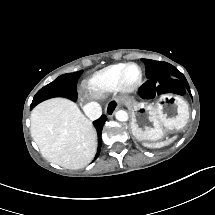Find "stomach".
I'll return each mask as SVG.
<instances>
[{"mask_svg": "<svg viewBox=\"0 0 215 215\" xmlns=\"http://www.w3.org/2000/svg\"><path fill=\"white\" fill-rule=\"evenodd\" d=\"M130 110V128L134 137L143 142H171L183 130L189 120L187 102L178 95H163L155 102L148 103L134 99L125 100Z\"/></svg>", "mask_w": 215, "mask_h": 215, "instance_id": "stomach-1", "label": "stomach"}]
</instances>
